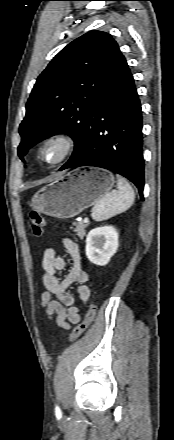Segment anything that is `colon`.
<instances>
[{
  "label": "colon",
  "instance_id": "colon-1",
  "mask_svg": "<svg viewBox=\"0 0 174 440\" xmlns=\"http://www.w3.org/2000/svg\"><path fill=\"white\" fill-rule=\"evenodd\" d=\"M29 224L34 235L39 237L41 236L43 229L46 226V220L40 213L33 211L30 214ZM94 315H95V305L93 301H91L83 321L80 322L70 334L69 340L71 342L79 339L84 334V332L88 329V327L92 323L94 319Z\"/></svg>",
  "mask_w": 174,
  "mask_h": 440
}]
</instances>
